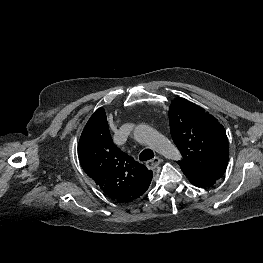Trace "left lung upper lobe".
Returning <instances> with one entry per match:
<instances>
[{"instance_id": "5c2ea615", "label": "left lung upper lobe", "mask_w": 263, "mask_h": 263, "mask_svg": "<svg viewBox=\"0 0 263 263\" xmlns=\"http://www.w3.org/2000/svg\"><path fill=\"white\" fill-rule=\"evenodd\" d=\"M170 132L182 154V171L224 174L229 158L225 129L203 108L181 98L169 107Z\"/></svg>"}]
</instances>
